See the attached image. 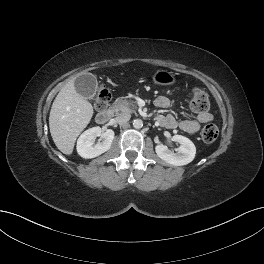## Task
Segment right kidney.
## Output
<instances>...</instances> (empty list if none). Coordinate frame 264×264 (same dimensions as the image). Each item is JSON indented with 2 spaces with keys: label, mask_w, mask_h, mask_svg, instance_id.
<instances>
[{
  "label": "right kidney",
  "mask_w": 264,
  "mask_h": 264,
  "mask_svg": "<svg viewBox=\"0 0 264 264\" xmlns=\"http://www.w3.org/2000/svg\"><path fill=\"white\" fill-rule=\"evenodd\" d=\"M100 127H93L83 132L77 140V152L85 159L95 158L108 151L114 139V131L107 129L101 133ZM102 134L104 140L101 143L94 144V139Z\"/></svg>",
  "instance_id": "right-kidney-1"
}]
</instances>
